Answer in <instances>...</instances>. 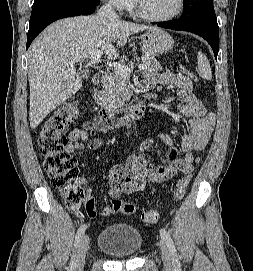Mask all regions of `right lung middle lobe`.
I'll use <instances>...</instances> for the list:
<instances>
[{
  "label": "right lung middle lobe",
  "mask_w": 253,
  "mask_h": 271,
  "mask_svg": "<svg viewBox=\"0 0 253 271\" xmlns=\"http://www.w3.org/2000/svg\"><path fill=\"white\" fill-rule=\"evenodd\" d=\"M77 3H88L90 5L98 6L100 0H34L30 19L49 9Z\"/></svg>",
  "instance_id": "obj_1"
}]
</instances>
